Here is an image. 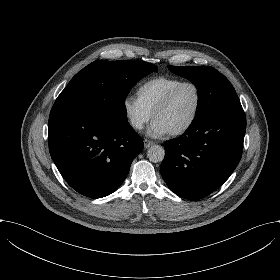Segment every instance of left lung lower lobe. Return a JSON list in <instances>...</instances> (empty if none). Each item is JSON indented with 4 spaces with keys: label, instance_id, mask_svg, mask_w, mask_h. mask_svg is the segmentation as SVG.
I'll return each mask as SVG.
<instances>
[{
    "label": "left lung lower lobe",
    "instance_id": "obj_1",
    "mask_svg": "<svg viewBox=\"0 0 280 280\" xmlns=\"http://www.w3.org/2000/svg\"><path fill=\"white\" fill-rule=\"evenodd\" d=\"M245 131L240 103L194 118L180 137L164 143L161 175L168 187L190 200L218 189L241 159Z\"/></svg>",
    "mask_w": 280,
    "mask_h": 280
}]
</instances>
